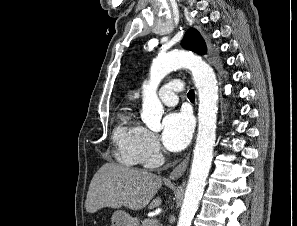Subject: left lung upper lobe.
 Instances as JSON below:
<instances>
[{
    "label": "left lung upper lobe",
    "mask_w": 297,
    "mask_h": 226,
    "mask_svg": "<svg viewBox=\"0 0 297 226\" xmlns=\"http://www.w3.org/2000/svg\"><path fill=\"white\" fill-rule=\"evenodd\" d=\"M181 45L184 48L194 51L198 54H205L207 51L203 38L194 28H191L186 32Z\"/></svg>",
    "instance_id": "5c2ea615"
}]
</instances>
